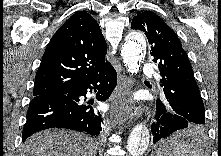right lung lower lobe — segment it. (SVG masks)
<instances>
[{
  "mask_svg": "<svg viewBox=\"0 0 221 156\" xmlns=\"http://www.w3.org/2000/svg\"><path fill=\"white\" fill-rule=\"evenodd\" d=\"M117 83V73L109 64L98 74L60 95H41L32 99L22 132L24 142L30 135L48 128H67L90 135H99L103 122L100 113L85 103L87 90L97 91V99L109 98Z\"/></svg>",
  "mask_w": 221,
  "mask_h": 156,
  "instance_id": "right-lung-lower-lobe-1",
  "label": "right lung lower lobe"
}]
</instances>
